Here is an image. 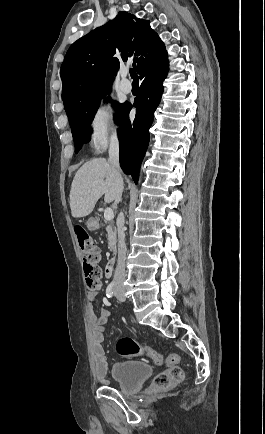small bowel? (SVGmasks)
<instances>
[{
  "instance_id": "obj_1",
  "label": "small bowel",
  "mask_w": 265,
  "mask_h": 434,
  "mask_svg": "<svg viewBox=\"0 0 265 434\" xmlns=\"http://www.w3.org/2000/svg\"><path fill=\"white\" fill-rule=\"evenodd\" d=\"M97 297L98 292L94 290H90L86 294L91 321L92 373L96 379L102 380L108 371L107 355L103 343L105 325L111 318V311L108 308H102L99 314L95 315L93 303ZM160 365L170 367L171 363L166 359ZM102 385H107V380H102Z\"/></svg>"
}]
</instances>
